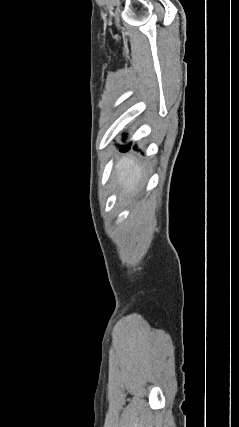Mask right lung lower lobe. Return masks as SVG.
Returning <instances> with one entry per match:
<instances>
[{
	"label": "right lung lower lobe",
	"instance_id": "obj_1",
	"mask_svg": "<svg viewBox=\"0 0 239 427\" xmlns=\"http://www.w3.org/2000/svg\"><path fill=\"white\" fill-rule=\"evenodd\" d=\"M130 149V148H129ZM129 149H124V150H121L122 152H126V151H128ZM134 149L136 150V146L134 147Z\"/></svg>",
	"mask_w": 239,
	"mask_h": 427
}]
</instances>
